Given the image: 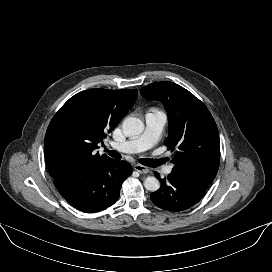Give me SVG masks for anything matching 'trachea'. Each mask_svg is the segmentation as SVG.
Returning <instances> with one entry per match:
<instances>
[{"label": "trachea", "instance_id": "obj_1", "mask_svg": "<svg viewBox=\"0 0 272 272\" xmlns=\"http://www.w3.org/2000/svg\"><path fill=\"white\" fill-rule=\"evenodd\" d=\"M109 155L115 159H121V154L115 150H111L108 152ZM140 162L143 165L149 166V167H156L164 163V159L160 160H154V159H141Z\"/></svg>", "mask_w": 272, "mask_h": 272}]
</instances>
